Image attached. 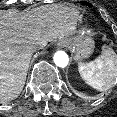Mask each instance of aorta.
Listing matches in <instances>:
<instances>
[{
    "mask_svg": "<svg viewBox=\"0 0 117 117\" xmlns=\"http://www.w3.org/2000/svg\"><path fill=\"white\" fill-rule=\"evenodd\" d=\"M53 61L56 66L63 68V67L67 66V64L69 62V58H68V55L66 54V52L57 51L53 56Z\"/></svg>",
    "mask_w": 117,
    "mask_h": 117,
    "instance_id": "762f6f07",
    "label": "aorta"
}]
</instances>
